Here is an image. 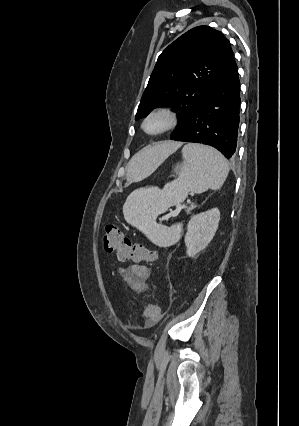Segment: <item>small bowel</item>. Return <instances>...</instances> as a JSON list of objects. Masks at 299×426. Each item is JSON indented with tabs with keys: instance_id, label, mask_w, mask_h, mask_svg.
<instances>
[{
	"instance_id": "c3829d8e",
	"label": "small bowel",
	"mask_w": 299,
	"mask_h": 426,
	"mask_svg": "<svg viewBox=\"0 0 299 426\" xmlns=\"http://www.w3.org/2000/svg\"><path fill=\"white\" fill-rule=\"evenodd\" d=\"M125 282L135 291L142 292L147 287L150 270L140 264H132L128 268H119Z\"/></svg>"
}]
</instances>
